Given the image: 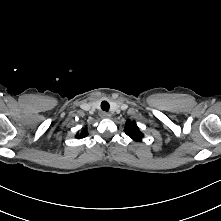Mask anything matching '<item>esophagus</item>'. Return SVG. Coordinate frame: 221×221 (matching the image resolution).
<instances>
[{"label":"esophagus","instance_id":"esophagus-1","mask_svg":"<svg viewBox=\"0 0 221 221\" xmlns=\"http://www.w3.org/2000/svg\"><path fill=\"white\" fill-rule=\"evenodd\" d=\"M101 117H102V118H110L111 115H110L109 113H107V112H102V113H101Z\"/></svg>","mask_w":221,"mask_h":221}]
</instances>
